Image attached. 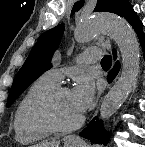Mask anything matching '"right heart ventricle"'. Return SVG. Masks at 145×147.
<instances>
[{
    "label": "right heart ventricle",
    "mask_w": 145,
    "mask_h": 147,
    "mask_svg": "<svg viewBox=\"0 0 145 147\" xmlns=\"http://www.w3.org/2000/svg\"><path fill=\"white\" fill-rule=\"evenodd\" d=\"M57 86V83L45 75L37 78L18 102L14 118L13 129L15 138L22 143H35L48 139L54 134L44 122L34 113L36 101Z\"/></svg>",
    "instance_id": "e07e8e85"
}]
</instances>
